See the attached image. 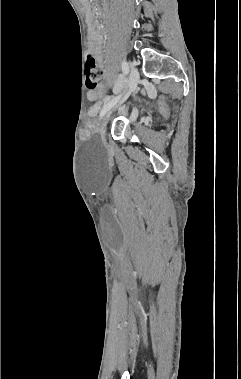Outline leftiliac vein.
Returning a JSON list of instances; mask_svg holds the SVG:
<instances>
[{"instance_id": "obj_1", "label": "left iliac vein", "mask_w": 241, "mask_h": 379, "mask_svg": "<svg viewBox=\"0 0 241 379\" xmlns=\"http://www.w3.org/2000/svg\"><path fill=\"white\" fill-rule=\"evenodd\" d=\"M139 81V72L138 69L136 68L134 63H130V75H129V80H128V90L123 93L118 101L107 111L102 123L99 126L98 132L102 138V140H105L106 136V126L107 122L111 116V114L120 106L122 105L125 100L129 97V95L136 89L137 84Z\"/></svg>"}]
</instances>
